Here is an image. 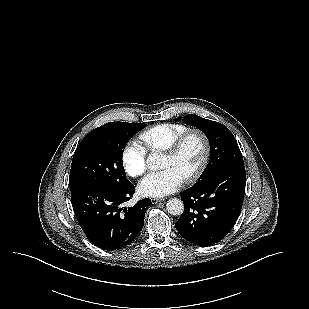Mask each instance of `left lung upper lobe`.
Here are the masks:
<instances>
[{"label":"left lung upper lobe","mask_w":309,"mask_h":309,"mask_svg":"<svg viewBox=\"0 0 309 309\" xmlns=\"http://www.w3.org/2000/svg\"><path fill=\"white\" fill-rule=\"evenodd\" d=\"M183 120L204 132L210 143V161L199 180L226 167L244 164L233 134L224 125L194 114L186 115Z\"/></svg>","instance_id":"left-lung-upper-lobe-1"}]
</instances>
